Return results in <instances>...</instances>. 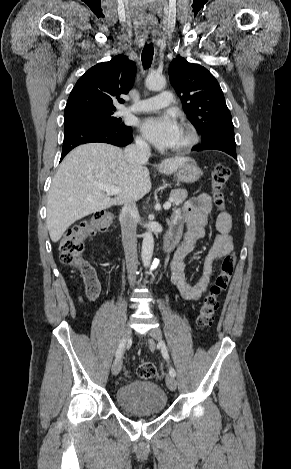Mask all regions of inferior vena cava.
I'll list each match as a JSON object with an SVG mask.
<instances>
[{"label": "inferior vena cava", "instance_id": "inferior-vena-cava-1", "mask_svg": "<svg viewBox=\"0 0 291 469\" xmlns=\"http://www.w3.org/2000/svg\"><path fill=\"white\" fill-rule=\"evenodd\" d=\"M124 154L130 164H144L149 159L150 147L147 142L141 138H136L135 144L127 146L124 150ZM136 215V202L130 200L124 204L119 216L128 280L131 285L135 281V272L138 264Z\"/></svg>", "mask_w": 291, "mask_h": 469}]
</instances>
